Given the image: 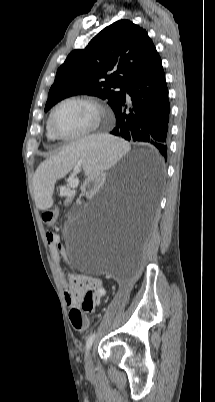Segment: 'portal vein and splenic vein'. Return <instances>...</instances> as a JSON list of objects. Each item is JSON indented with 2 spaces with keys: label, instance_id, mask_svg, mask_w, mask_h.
<instances>
[{
  "label": "portal vein and splenic vein",
  "instance_id": "obj_1",
  "mask_svg": "<svg viewBox=\"0 0 215 402\" xmlns=\"http://www.w3.org/2000/svg\"><path fill=\"white\" fill-rule=\"evenodd\" d=\"M77 185H78V180H73L72 186L75 187V186H77Z\"/></svg>",
  "mask_w": 215,
  "mask_h": 402
}]
</instances>
